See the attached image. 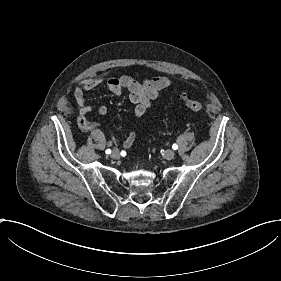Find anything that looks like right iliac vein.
I'll list each match as a JSON object with an SVG mask.
<instances>
[{"instance_id": "1", "label": "right iliac vein", "mask_w": 281, "mask_h": 281, "mask_svg": "<svg viewBox=\"0 0 281 281\" xmlns=\"http://www.w3.org/2000/svg\"><path fill=\"white\" fill-rule=\"evenodd\" d=\"M111 156H112V158L117 159V158H119L120 153H119V151L114 150V151H112Z\"/></svg>"}]
</instances>
